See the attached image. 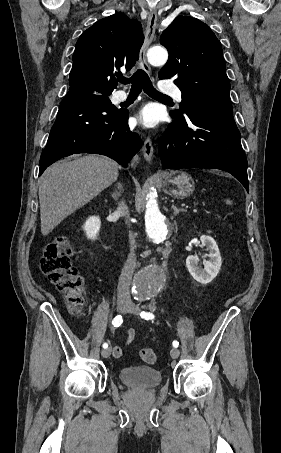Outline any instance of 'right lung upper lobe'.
Segmentation results:
<instances>
[{
    "mask_svg": "<svg viewBox=\"0 0 281 453\" xmlns=\"http://www.w3.org/2000/svg\"><path fill=\"white\" fill-rule=\"evenodd\" d=\"M143 41L141 24L122 13L96 22L76 43L66 97L110 95L117 86L114 73L136 64Z\"/></svg>",
    "mask_w": 281,
    "mask_h": 453,
    "instance_id": "obj_1",
    "label": "right lung upper lobe"
}]
</instances>
